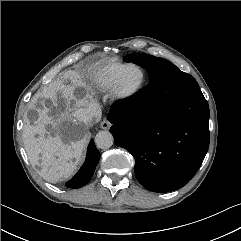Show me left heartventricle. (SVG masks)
<instances>
[{
  "mask_svg": "<svg viewBox=\"0 0 241 241\" xmlns=\"http://www.w3.org/2000/svg\"><path fill=\"white\" fill-rule=\"evenodd\" d=\"M141 79V72L137 68H130L122 77V84L125 87H131L137 84Z\"/></svg>",
  "mask_w": 241,
  "mask_h": 241,
  "instance_id": "b2bd125f",
  "label": "left heart ventricle"
}]
</instances>
